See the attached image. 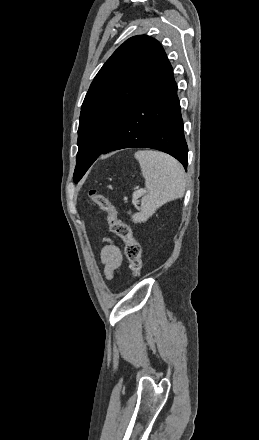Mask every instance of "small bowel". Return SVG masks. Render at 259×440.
Here are the masks:
<instances>
[{
    "instance_id": "c3829d8e",
    "label": "small bowel",
    "mask_w": 259,
    "mask_h": 440,
    "mask_svg": "<svg viewBox=\"0 0 259 440\" xmlns=\"http://www.w3.org/2000/svg\"><path fill=\"white\" fill-rule=\"evenodd\" d=\"M105 242L101 250V261L106 278L111 280L122 266L123 257L120 248L115 243L110 239H105Z\"/></svg>"
}]
</instances>
